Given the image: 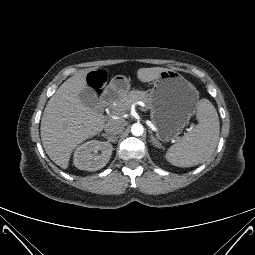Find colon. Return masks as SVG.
<instances>
[{
	"label": "colon",
	"instance_id": "obj_1",
	"mask_svg": "<svg viewBox=\"0 0 255 255\" xmlns=\"http://www.w3.org/2000/svg\"><path fill=\"white\" fill-rule=\"evenodd\" d=\"M105 81V77L101 72H91L88 76V82L96 88L102 86Z\"/></svg>",
	"mask_w": 255,
	"mask_h": 255
}]
</instances>
